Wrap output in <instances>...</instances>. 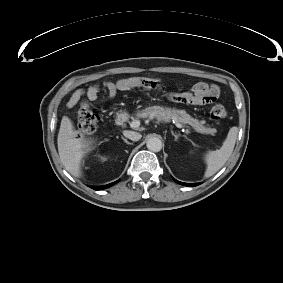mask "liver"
Instances as JSON below:
<instances>
[{
	"label": "liver",
	"mask_w": 283,
	"mask_h": 283,
	"mask_svg": "<svg viewBox=\"0 0 283 283\" xmlns=\"http://www.w3.org/2000/svg\"><path fill=\"white\" fill-rule=\"evenodd\" d=\"M71 120L64 116L61 120V125L58 133V153L61 163L65 169L73 176H81V160L87 152L88 144H83L80 139L75 138Z\"/></svg>",
	"instance_id": "6515ba94"
}]
</instances>
